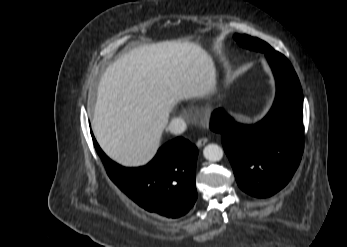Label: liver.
Masks as SVG:
<instances>
[{
	"label": "liver",
	"instance_id": "6515ba94",
	"mask_svg": "<svg viewBox=\"0 0 347 247\" xmlns=\"http://www.w3.org/2000/svg\"><path fill=\"white\" fill-rule=\"evenodd\" d=\"M215 91L214 63L200 45L175 40L143 44L102 74L93 133L117 163L143 166L155 156L173 107Z\"/></svg>",
	"mask_w": 347,
	"mask_h": 247
}]
</instances>
